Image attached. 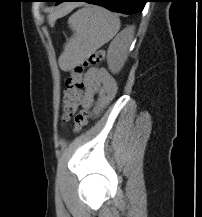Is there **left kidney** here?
<instances>
[{
    "label": "left kidney",
    "instance_id": "1",
    "mask_svg": "<svg viewBox=\"0 0 202 217\" xmlns=\"http://www.w3.org/2000/svg\"><path fill=\"white\" fill-rule=\"evenodd\" d=\"M129 42L119 35L110 45L107 52V63L109 70L119 73L128 57Z\"/></svg>",
    "mask_w": 202,
    "mask_h": 217
}]
</instances>
